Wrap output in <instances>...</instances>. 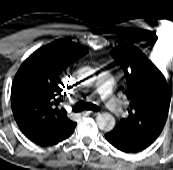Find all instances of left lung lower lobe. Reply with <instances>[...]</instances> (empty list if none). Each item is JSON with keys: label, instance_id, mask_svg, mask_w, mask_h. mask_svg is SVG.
<instances>
[{"label": "left lung lower lobe", "instance_id": "1", "mask_svg": "<svg viewBox=\"0 0 173 170\" xmlns=\"http://www.w3.org/2000/svg\"><path fill=\"white\" fill-rule=\"evenodd\" d=\"M105 138L115 148L122 152L137 153L145 149L144 147L137 146L130 141L122 138L119 134H115L111 131L105 134Z\"/></svg>", "mask_w": 173, "mask_h": 170}]
</instances>
